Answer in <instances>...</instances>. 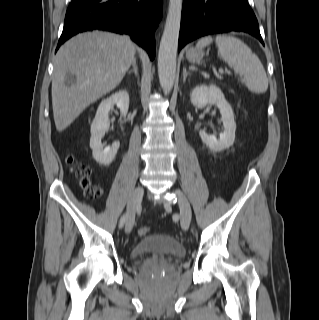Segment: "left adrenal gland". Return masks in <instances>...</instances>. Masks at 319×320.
Listing matches in <instances>:
<instances>
[{"label":"left adrenal gland","instance_id":"left-adrenal-gland-1","mask_svg":"<svg viewBox=\"0 0 319 320\" xmlns=\"http://www.w3.org/2000/svg\"><path fill=\"white\" fill-rule=\"evenodd\" d=\"M190 75V72H187L186 68H183V81H186L187 76Z\"/></svg>","mask_w":319,"mask_h":320}]
</instances>
